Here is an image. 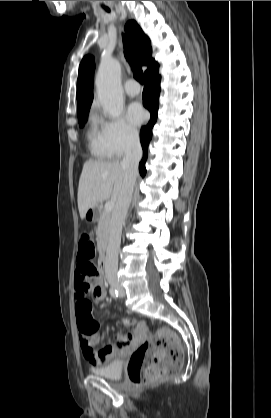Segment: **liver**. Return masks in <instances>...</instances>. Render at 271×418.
<instances>
[{
    "mask_svg": "<svg viewBox=\"0 0 271 418\" xmlns=\"http://www.w3.org/2000/svg\"><path fill=\"white\" fill-rule=\"evenodd\" d=\"M125 168L118 160H89L83 165L78 186V209L81 219L88 209L111 198L115 204L122 192Z\"/></svg>",
    "mask_w": 271,
    "mask_h": 418,
    "instance_id": "6515ba94",
    "label": "liver"
}]
</instances>
